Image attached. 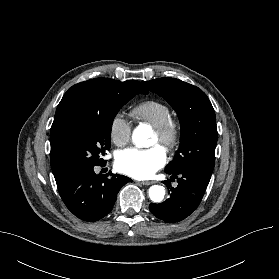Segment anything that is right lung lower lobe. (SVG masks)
Listing matches in <instances>:
<instances>
[{"label": "right lung lower lobe", "instance_id": "obj_1", "mask_svg": "<svg viewBox=\"0 0 279 279\" xmlns=\"http://www.w3.org/2000/svg\"><path fill=\"white\" fill-rule=\"evenodd\" d=\"M132 180L126 176L95 174L94 167H87L69 175L57 185L67 208L79 219L88 222L105 217L112 209L117 193Z\"/></svg>", "mask_w": 279, "mask_h": 279}]
</instances>
